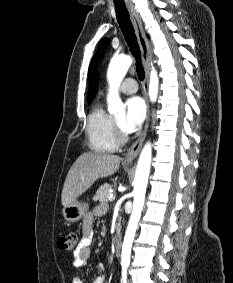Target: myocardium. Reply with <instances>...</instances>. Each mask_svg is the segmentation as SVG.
I'll return each mask as SVG.
<instances>
[{
  "mask_svg": "<svg viewBox=\"0 0 233 283\" xmlns=\"http://www.w3.org/2000/svg\"><path fill=\"white\" fill-rule=\"evenodd\" d=\"M114 128H115V134L118 143H123L127 139V135L123 129V127L117 122L116 119H114Z\"/></svg>",
  "mask_w": 233,
  "mask_h": 283,
  "instance_id": "obj_1",
  "label": "myocardium"
}]
</instances>
